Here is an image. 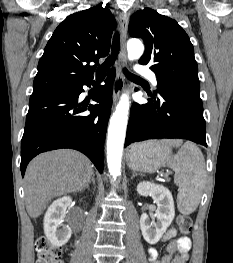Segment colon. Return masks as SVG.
I'll use <instances>...</instances> for the list:
<instances>
[{"mask_svg":"<svg viewBox=\"0 0 233 263\" xmlns=\"http://www.w3.org/2000/svg\"><path fill=\"white\" fill-rule=\"evenodd\" d=\"M179 233L186 236L192 228V220L188 215H180L177 220ZM36 263H62L61 248L52 246L45 237H39L35 243Z\"/></svg>","mask_w":233,"mask_h":263,"instance_id":"1","label":"colon"}]
</instances>
